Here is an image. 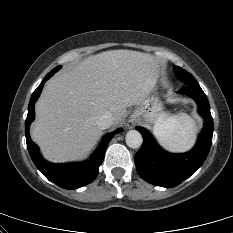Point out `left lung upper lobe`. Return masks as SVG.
I'll return each mask as SVG.
<instances>
[{"instance_id":"5c2ea615","label":"left lung upper lobe","mask_w":233,"mask_h":233,"mask_svg":"<svg viewBox=\"0 0 233 233\" xmlns=\"http://www.w3.org/2000/svg\"><path fill=\"white\" fill-rule=\"evenodd\" d=\"M173 69L175 70V73L178 76V78L184 81L187 86H199L195 78L186 70L182 69L179 66H173Z\"/></svg>"}]
</instances>
